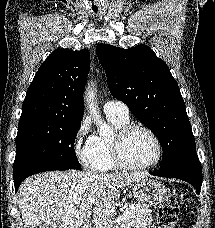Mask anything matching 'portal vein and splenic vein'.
Segmentation results:
<instances>
[{
    "mask_svg": "<svg viewBox=\"0 0 215 228\" xmlns=\"http://www.w3.org/2000/svg\"><path fill=\"white\" fill-rule=\"evenodd\" d=\"M93 204H95L94 198L93 200H90V202H87V204H84V206L90 210ZM137 208L138 206H130V208H126L124 214H121V216H119V220H128L129 216H131L132 212H134V210H137Z\"/></svg>",
    "mask_w": 215,
    "mask_h": 228,
    "instance_id": "obj_1",
    "label": "portal vein and splenic vein"
}]
</instances>
